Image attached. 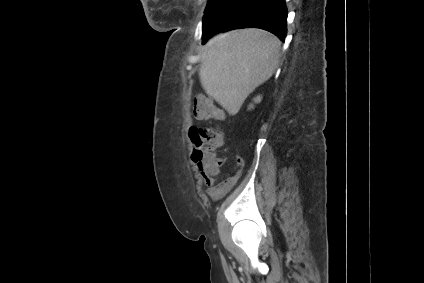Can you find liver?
Returning a JSON list of instances; mask_svg holds the SVG:
<instances>
[{"label": "liver", "mask_w": 424, "mask_h": 283, "mask_svg": "<svg viewBox=\"0 0 424 283\" xmlns=\"http://www.w3.org/2000/svg\"><path fill=\"white\" fill-rule=\"evenodd\" d=\"M280 40L259 28L221 33L205 47L199 71L206 93L230 115L274 73L280 54Z\"/></svg>", "instance_id": "1"}]
</instances>
